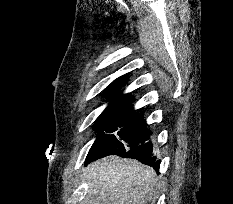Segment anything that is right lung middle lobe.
<instances>
[{"label":"right lung middle lobe","mask_w":233,"mask_h":204,"mask_svg":"<svg viewBox=\"0 0 233 204\" xmlns=\"http://www.w3.org/2000/svg\"><path fill=\"white\" fill-rule=\"evenodd\" d=\"M130 105L114 106L98 117L95 127L99 134L92 147L113 152L129 149L149 139L143 115L132 110Z\"/></svg>","instance_id":"obj_1"}]
</instances>
